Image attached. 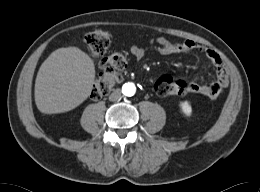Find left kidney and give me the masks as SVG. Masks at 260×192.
Instances as JSON below:
<instances>
[{
	"instance_id": "obj_1",
	"label": "left kidney",
	"mask_w": 260,
	"mask_h": 192,
	"mask_svg": "<svg viewBox=\"0 0 260 192\" xmlns=\"http://www.w3.org/2000/svg\"><path fill=\"white\" fill-rule=\"evenodd\" d=\"M180 107H181L182 112L186 116H190L192 114V108H191V105L188 101L181 102Z\"/></svg>"
}]
</instances>
